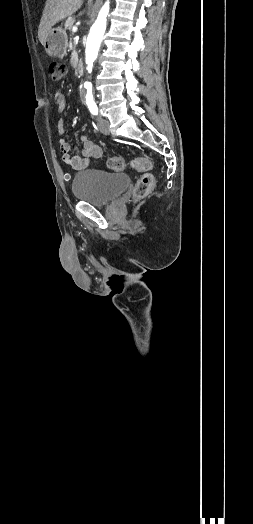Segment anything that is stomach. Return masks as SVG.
<instances>
[{
    "instance_id": "stomach-1",
    "label": "stomach",
    "mask_w": 253,
    "mask_h": 524,
    "mask_svg": "<svg viewBox=\"0 0 253 524\" xmlns=\"http://www.w3.org/2000/svg\"><path fill=\"white\" fill-rule=\"evenodd\" d=\"M68 46V37L62 27L51 28L44 44L47 54L54 58H63Z\"/></svg>"
}]
</instances>
